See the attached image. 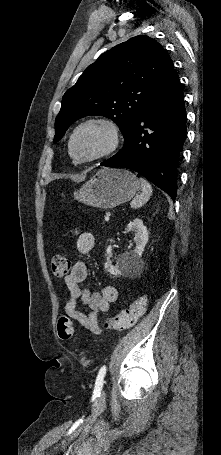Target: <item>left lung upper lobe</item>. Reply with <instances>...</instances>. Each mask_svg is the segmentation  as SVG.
<instances>
[{"label":"left lung upper lobe","instance_id":"obj_1","mask_svg":"<svg viewBox=\"0 0 221 455\" xmlns=\"http://www.w3.org/2000/svg\"><path fill=\"white\" fill-rule=\"evenodd\" d=\"M173 69L163 47L144 35L106 51L64 94L55 122L54 142L63 137L74 121L87 115L112 119L125 139L142 108Z\"/></svg>","mask_w":221,"mask_h":455}]
</instances>
